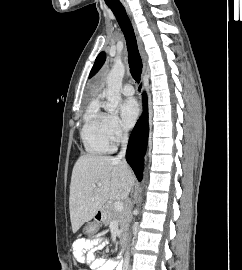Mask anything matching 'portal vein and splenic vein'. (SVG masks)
<instances>
[{
	"label": "portal vein and splenic vein",
	"mask_w": 242,
	"mask_h": 270,
	"mask_svg": "<svg viewBox=\"0 0 242 270\" xmlns=\"http://www.w3.org/2000/svg\"><path fill=\"white\" fill-rule=\"evenodd\" d=\"M97 186H102V184L101 183H97ZM113 204H114V208H115L116 211L121 212V211L124 210V204H123V202L117 200V201H114Z\"/></svg>",
	"instance_id": "obj_1"
}]
</instances>
